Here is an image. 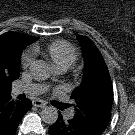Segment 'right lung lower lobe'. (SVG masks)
<instances>
[{"label": "right lung lower lobe", "mask_w": 135, "mask_h": 135, "mask_svg": "<svg viewBox=\"0 0 135 135\" xmlns=\"http://www.w3.org/2000/svg\"><path fill=\"white\" fill-rule=\"evenodd\" d=\"M32 107L29 99L14 102L11 96L0 99V135H14L17 127L25 115Z\"/></svg>", "instance_id": "98d812e1"}]
</instances>
